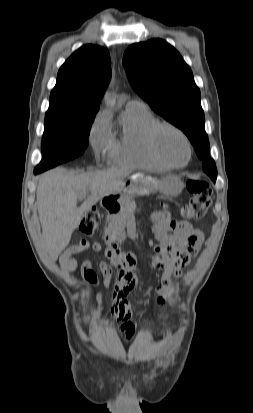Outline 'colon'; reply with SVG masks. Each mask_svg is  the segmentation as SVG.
<instances>
[{
  "mask_svg": "<svg viewBox=\"0 0 253 413\" xmlns=\"http://www.w3.org/2000/svg\"><path fill=\"white\" fill-rule=\"evenodd\" d=\"M187 189L191 194L189 201L183 206L181 214L189 220L203 218L211 203V188L203 179H192L187 183ZM100 221V213L97 209L88 210L79 225V230L90 236L96 230Z\"/></svg>",
  "mask_w": 253,
  "mask_h": 413,
  "instance_id": "colon-1",
  "label": "colon"
}]
</instances>
